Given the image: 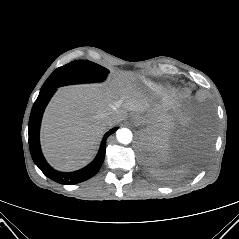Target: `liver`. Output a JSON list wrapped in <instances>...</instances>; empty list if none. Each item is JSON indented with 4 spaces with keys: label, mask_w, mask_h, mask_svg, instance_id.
<instances>
[{
    "label": "liver",
    "mask_w": 239,
    "mask_h": 239,
    "mask_svg": "<svg viewBox=\"0 0 239 239\" xmlns=\"http://www.w3.org/2000/svg\"><path fill=\"white\" fill-rule=\"evenodd\" d=\"M130 73L118 74L111 82L60 88L44 113L42 150L48 162L61 171L85 165L95 154L107 125L125 120L130 111H145L149 104L133 83ZM113 112L106 123L102 114ZM163 119V116H154Z\"/></svg>",
    "instance_id": "liver-1"
}]
</instances>
